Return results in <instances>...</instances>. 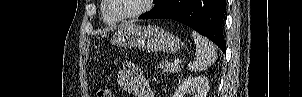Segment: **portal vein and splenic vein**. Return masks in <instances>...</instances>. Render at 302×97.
Wrapping results in <instances>:
<instances>
[{
  "label": "portal vein and splenic vein",
  "instance_id": "18ae733b",
  "mask_svg": "<svg viewBox=\"0 0 302 97\" xmlns=\"http://www.w3.org/2000/svg\"><path fill=\"white\" fill-rule=\"evenodd\" d=\"M179 63H180V60H179V59H175V60H174V64H175V65H178Z\"/></svg>",
  "mask_w": 302,
  "mask_h": 97
}]
</instances>
